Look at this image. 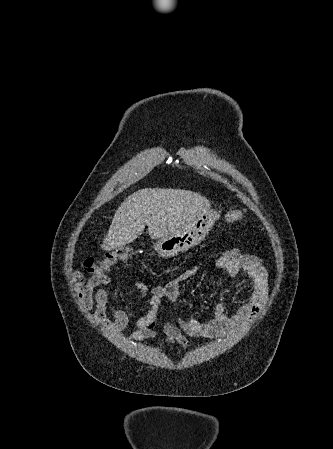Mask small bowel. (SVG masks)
I'll return each instance as SVG.
<instances>
[{"label": "small bowel", "instance_id": "c3829d8e", "mask_svg": "<svg viewBox=\"0 0 333 449\" xmlns=\"http://www.w3.org/2000/svg\"><path fill=\"white\" fill-rule=\"evenodd\" d=\"M214 264L226 270L230 276L245 270L248 277L240 282L237 288L249 286L250 297L231 315L227 314L223 303H218L212 319L206 323L191 318H179L176 323H166L163 329L167 345L186 348L190 345L188 337L211 338L238 333L257 316L264 305L268 296V274L258 257L231 249L218 256ZM197 272V267L188 268L165 284L155 286L151 290L141 282L135 283V287L140 290L142 296L148 297L149 309L136 321L137 330L133 335L134 340L144 341L155 337L158 310L162 301L167 299L172 303L177 302L180 284L195 276ZM71 278L82 308L89 311L95 306L92 317L98 323L112 332H119L127 327L129 322L127 313L112 302L118 297L119 291L109 289L111 285L109 276L104 273L87 277L83 271L77 270Z\"/></svg>", "mask_w": 333, "mask_h": 449}]
</instances>
